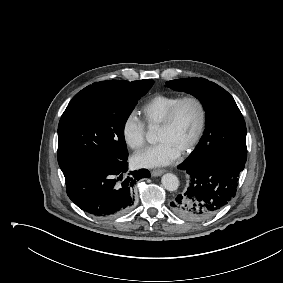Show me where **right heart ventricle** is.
I'll return each instance as SVG.
<instances>
[{
    "label": "right heart ventricle",
    "mask_w": 283,
    "mask_h": 283,
    "mask_svg": "<svg viewBox=\"0 0 283 283\" xmlns=\"http://www.w3.org/2000/svg\"><path fill=\"white\" fill-rule=\"evenodd\" d=\"M180 98L178 95L158 94L149 99L140 109L144 123L150 127L160 126Z\"/></svg>",
    "instance_id": "obj_1"
}]
</instances>
